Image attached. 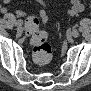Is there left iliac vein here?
<instances>
[{"instance_id":"4c4485c4","label":"left iliac vein","mask_w":91,"mask_h":91,"mask_svg":"<svg viewBox=\"0 0 91 91\" xmlns=\"http://www.w3.org/2000/svg\"><path fill=\"white\" fill-rule=\"evenodd\" d=\"M71 35L73 36V37H78L79 36V31L78 30H71Z\"/></svg>"}]
</instances>
